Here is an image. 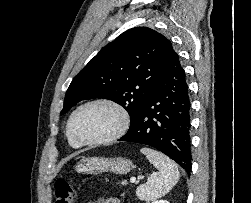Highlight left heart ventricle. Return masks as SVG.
Segmentation results:
<instances>
[{"label":"left heart ventricle","instance_id":"1","mask_svg":"<svg viewBox=\"0 0 251 203\" xmlns=\"http://www.w3.org/2000/svg\"><path fill=\"white\" fill-rule=\"evenodd\" d=\"M119 124L118 114L103 105H94L81 110L74 118L75 134L87 140L99 139L111 134Z\"/></svg>","mask_w":251,"mask_h":203}]
</instances>
